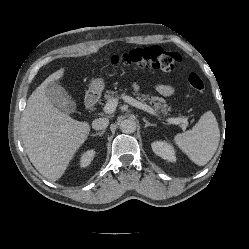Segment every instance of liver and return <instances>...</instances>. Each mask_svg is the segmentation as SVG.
Here are the masks:
<instances>
[{
  "label": "liver",
  "instance_id": "obj_1",
  "mask_svg": "<svg viewBox=\"0 0 249 249\" xmlns=\"http://www.w3.org/2000/svg\"><path fill=\"white\" fill-rule=\"evenodd\" d=\"M64 68L49 75L27 100L21 117V134L33 166L50 181L64 174L70 160L87 139L88 122L72 119L46 97L50 82L61 79Z\"/></svg>",
  "mask_w": 249,
  "mask_h": 249
}]
</instances>
